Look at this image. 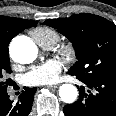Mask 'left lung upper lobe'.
Instances as JSON below:
<instances>
[{"instance_id":"left-lung-upper-lobe-1","label":"left lung upper lobe","mask_w":116,"mask_h":116,"mask_svg":"<svg viewBox=\"0 0 116 116\" xmlns=\"http://www.w3.org/2000/svg\"><path fill=\"white\" fill-rule=\"evenodd\" d=\"M69 39L78 61L68 74L82 80L116 76V25L94 14L48 19L43 23Z\"/></svg>"}]
</instances>
